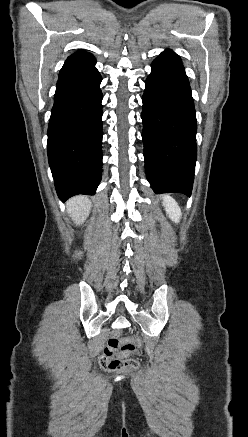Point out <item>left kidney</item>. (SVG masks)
<instances>
[{
  "label": "left kidney",
  "instance_id": "obj_1",
  "mask_svg": "<svg viewBox=\"0 0 248 437\" xmlns=\"http://www.w3.org/2000/svg\"><path fill=\"white\" fill-rule=\"evenodd\" d=\"M163 206L170 219L175 223H178L181 218V210L176 201L170 196L163 197Z\"/></svg>",
  "mask_w": 248,
  "mask_h": 437
}]
</instances>
